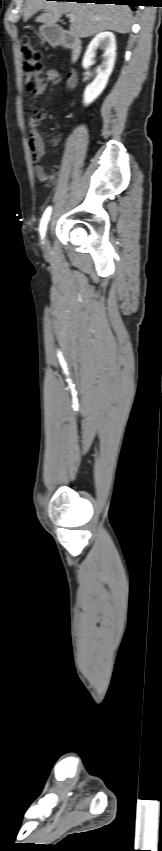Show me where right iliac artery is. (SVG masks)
I'll use <instances>...</instances> for the list:
<instances>
[{"label":"right iliac artery","instance_id":"right-iliac-artery-1","mask_svg":"<svg viewBox=\"0 0 162 851\" xmlns=\"http://www.w3.org/2000/svg\"><path fill=\"white\" fill-rule=\"evenodd\" d=\"M50 214H51V207H48L47 210L45 211V213L42 217L41 223H40V233H41L42 238L45 235V230H46L49 218H50Z\"/></svg>","mask_w":162,"mask_h":851}]
</instances>
